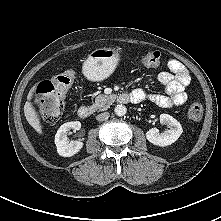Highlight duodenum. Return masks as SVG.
<instances>
[{"instance_id":"obj_1","label":"duodenum","mask_w":221,"mask_h":221,"mask_svg":"<svg viewBox=\"0 0 221 221\" xmlns=\"http://www.w3.org/2000/svg\"><path fill=\"white\" fill-rule=\"evenodd\" d=\"M117 101H118V103H121V104H126L130 101L135 102L134 99L127 93L120 94L117 98ZM91 113H92V108L89 106H81L78 109V116L83 120L88 119L90 117Z\"/></svg>"}]
</instances>
